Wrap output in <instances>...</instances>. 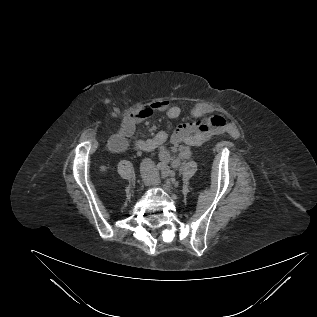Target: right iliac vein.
<instances>
[{
	"label": "right iliac vein",
	"mask_w": 317,
	"mask_h": 317,
	"mask_svg": "<svg viewBox=\"0 0 317 317\" xmlns=\"http://www.w3.org/2000/svg\"><path fill=\"white\" fill-rule=\"evenodd\" d=\"M147 175H148V174H147V171H146L145 169H143V170H142V176H143V177H147Z\"/></svg>",
	"instance_id": "obj_1"
}]
</instances>
